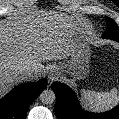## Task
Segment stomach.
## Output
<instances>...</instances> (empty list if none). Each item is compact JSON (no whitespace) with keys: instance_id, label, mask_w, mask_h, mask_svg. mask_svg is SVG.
Returning a JSON list of instances; mask_svg holds the SVG:
<instances>
[{"instance_id":"stomach-1","label":"stomach","mask_w":119,"mask_h":119,"mask_svg":"<svg viewBox=\"0 0 119 119\" xmlns=\"http://www.w3.org/2000/svg\"><path fill=\"white\" fill-rule=\"evenodd\" d=\"M89 57L90 48L87 42H85L81 36L76 34L72 38L70 59L66 65H60V68L74 79H83L88 72Z\"/></svg>"}]
</instances>
